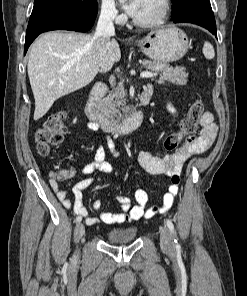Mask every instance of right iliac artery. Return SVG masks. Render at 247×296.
<instances>
[{"instance_id": "1", "label": "right iliac artery", "mask_w": 247, "mask_h": 296, "mask_svg": "<svg viewBox=\"0 0 247 296\" xmlns=\"http://www.w3.org/2000/svg\"><path fill=\"white\" fill-rule=\"evenodd\" d=\"M81 220H82V217H81V216H78V217L76 218V223H79Z\"/></svg>"}]
</instances>
